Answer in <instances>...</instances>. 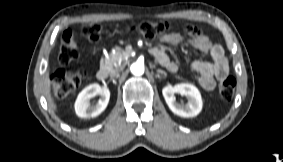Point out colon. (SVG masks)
I'll return each instance as SVG.
<instances>
[{
	"label": "colon",
	"instance_id": "5ec220e1",
	"mask_svg": "<svg viewBox=\"0 0 283 162\" xmlns=\"http://www.w3.org/2000/svg\"><path fill=\"white\" fill-rule=\"evenodd\" d=\"M170 28L166 21L142 22L134 26V29L144 37L153 39L163 35ZM82 34L90 41H98L101 37L102 26L97 22L86 23L81 28ZM79 56L75 36L72 30L67 29L62 33L58 60L62 66H67ZM84 74L80 71L73 72L66 68L56 70L51 75V84L54 95L57 98H65L72 94L82 83ZM236 88V80L227 76L220 81L218 92L223 100L232 99Z\"/></svg>",
	"mask_w": 283,
	"mask_h": 162
}]
</instances>
